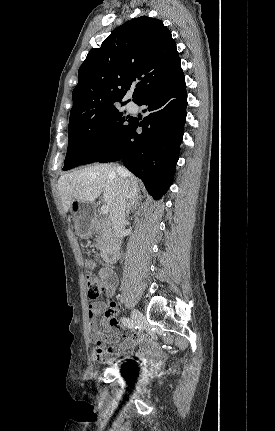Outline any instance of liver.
I'll return each instance as SVG.
<instances>
[{
  "mask_svg": "<svg viewBox=\"0 0 275 431\" xmlns=\"http://www.w3.org/2000/svg\"><path fill=\"white\" fill-rule=\"evenodd\" d=\"M113 164H97L84 169L61 175L58 180V191L66 213L70 209L73 199L92 203L103 192V198L109 210L118 196L120 189V176ZM129 180V189L126 198L138 196L140 188L138 180L128 170L124 169Z\"/></svg>",
  "mask_w": 275,
  "mask_h": 431,
  "instance_id": "obj_1",
  "label": "liver"
}]
</instances>
